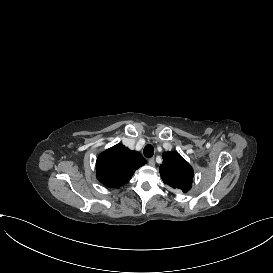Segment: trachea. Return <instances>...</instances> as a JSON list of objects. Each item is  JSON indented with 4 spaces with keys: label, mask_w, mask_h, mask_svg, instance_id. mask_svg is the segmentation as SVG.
<instances>
[{
    "label": "trachea",
    "mask_w": 273,
    "mask_h": 273,
    "mask_svg": "<svg viewBox=\"0 0 273 273\" xmlns=\"http://www.w3.org/2000/svg\"><path fill=\"white\" fill-rule=\"evenodd\" d=\"M145 157L151 158L154 155V148L152 145H146L143 149Z\"/></svg>",
    "instance_id": "obj_1"
}]
</instances>
